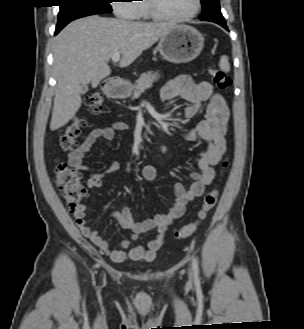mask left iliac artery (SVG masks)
Listing matches in <instances>:
<instances>
[{"instance_id": "1", "label": "left iliac artery", "mask_w": 304, "mask_h": 329, "mask_svg": "<svg viewBox=\"0 0 304 329\" xmlns=\"http://www.w3.org/2000/svg\"><path fill=\"white\" fill-rule=\"evenodd\" d=\"M192 267H193L194 274L197 276L199 274V268H198L197 259L195 257L192 258Z\"/></svg>"}]
</instances>
